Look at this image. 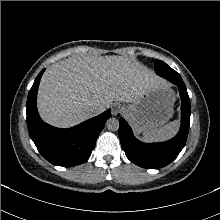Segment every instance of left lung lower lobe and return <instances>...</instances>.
<instances>
[{"mask_svg":"<svg viewBox=\"0 0 220 220\" xmlns=\"http://www.w3.org/2000/svg\"><path fill=\"white\" fill-rule=\"evenodd\" d=\"M179 87L181 97V127L178 134L162 143L138 141L127 122L120 118L119 138L127 158L134 164L148 169H158L170 164L185 146L190 125V98L181 76L169 66L157 73Z\"/></svg>","mask_w":220,"mask_h":220,"instance_id":"left-lung-lower-lobe-1","label":"left lung lower lobe"}]
</instances>
